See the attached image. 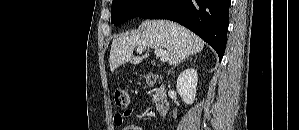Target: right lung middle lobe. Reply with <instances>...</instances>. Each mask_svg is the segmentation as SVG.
I'll return each instance as SVG.
<instances>
[{"label": "right lung middle lobe", "mask_w": 299, "mask_h": 130, "mask_svg": "<svg viewBox=\"0 0 299 130\" xmlns=\"http://www.w3.org/2000/svg\"><path fill=\"white\" fill-rule=\"evenodd\" d=\"M156 0H113L111 23L120 25L125 21L141 15Z\"/></svg>", "instance_id": "obj_1"}]
</instances>
